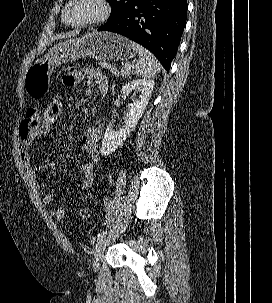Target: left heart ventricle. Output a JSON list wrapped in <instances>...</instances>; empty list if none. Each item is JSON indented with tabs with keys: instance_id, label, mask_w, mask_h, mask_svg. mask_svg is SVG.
I'll return each instance as SVG.
<instances>
[{
	"instance_id": "obj_1",
	"label": "left heart ventricle",
	"mask_w": 272,
	"mask_h": 303,
	"mask_svg": "<svg viewBox=\"0 0 272 303\" xmlns=\"http://www.w3.org/2000/svg\"><path fill=\"white\" fill-rule=\"evenodd\" d=\"M99 11V6L93 0H78L70 7L67 19L70 22H79L95 17Z\"/></svg>"
}]
</instances>
